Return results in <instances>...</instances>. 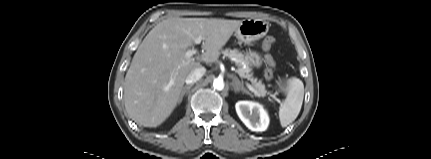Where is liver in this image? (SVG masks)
Instances as JSON below:
<instances>
[{
	"label": "liver",
	"instance_id": "obj_1",
	"mask_svg": "<svg viewBox=\"0 0 431 159\" xmlns=\"http://www.w3.org/2000/svg\"><path fill=\"white\" fill-rule=\"evenodd\" d=\"M240 20L169 18L158 23L139 45L125 76L124 102L129 117L144 127L161 125L179 101L187 76L201 62L212 63ZM203 37L205 52L187 58L186 50Z\"/></svg>",
	"mask_w": 431,
	"mask_h": 159
}]
</instances>
